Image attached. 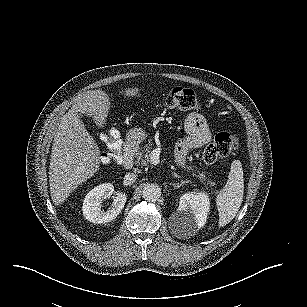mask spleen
Masks as SVG:
<instances>
[{"label":"spleen","instance_id":"3e777b00","mask_svg":"<svg viewBox=\"0 0 307 307\" xmlns=\"http://www.w3.org/2000/svg\"><path fill=\"white\" fill-rule=\"evenodd\" d=\"M244 195L243 168L236 160L231 165L228 181L217 196L219 226L228 224L237 214Z\"/></svg>","mask_w":307,"mask_h":307}]
</instances>
